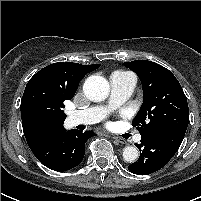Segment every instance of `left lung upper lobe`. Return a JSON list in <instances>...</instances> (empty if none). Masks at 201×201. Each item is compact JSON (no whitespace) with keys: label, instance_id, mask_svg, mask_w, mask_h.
Listing matches in <instances>:
<instances>
[{"label":"left lung upper lobe","instance_id":"5c2ea615","mask_svg":"<svg viewBox=\"0 0 201 201\" xmlns=\"http://www.w3.org/2000/svg\"><path fill=\"white\" fill-rule=\"evenodd\" d=\"M142 83L143 104L132 122L141 135L159 130L186 131L189 108L183 89L165 67L147 60L124 63Z\"/></svg>","mask_w":201,"mask_h":201}]
</instances>
